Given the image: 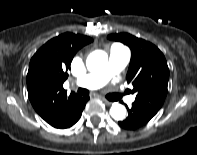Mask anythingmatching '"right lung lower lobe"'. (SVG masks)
Returning a JSON list of instances; mask_svg holds the SVG:
<instances>
[{
    "instance_id": "1",
    "label": "right lung lower lobe",
    "mask_w": 197,
    "mask_h": 155,
    "mask_svg": "<svg viewBox=\"0 0 197 155\" xmlns=\"http://www.w3.org/2000/svg\"><path fill=\"white\" fill-rule=\"evenodd\" d=\"M89 97H78L76 101L67 110L66 114L53 127L59 129H66L74 125L80 118L82 111L86 105Z\"/></svg>"
}]
</instances>
